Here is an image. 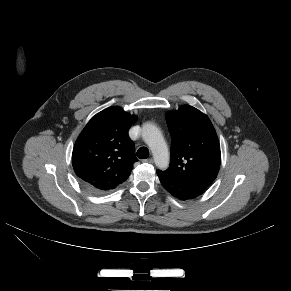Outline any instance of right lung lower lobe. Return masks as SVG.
Segmentation results:
<instances>
[{"label": "right lung lower lobe", "mask_w": 291, "mask_h": 291, "mask_svg": "<svg viewBox=\"0 0 291 291\" xmlns=\"http://www.w3.org/2000/svg\"><path fill=\"white\" fill-rule=\"evenodd\" d=\"M83 184L89 189V190H92V191H98L96 190L95 188H93L92 186H90L89 184L83 182Z\"/></svg>", "instance_id": "1"}]
</instances>
